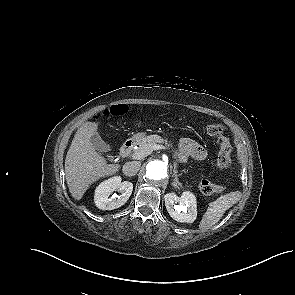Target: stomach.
Wrapping results in <instances>:
<instances>
[{"label":"stomach","instance_id":"obj_1","mask_svg":"<svg viewBox=\"0 0 295 295\" xmlns=\"http://www.w3.org/2000/svg\"><path fill=\"white\" fill-rule=\"evenodd\" d=\"M145 134L144 133H137L133 136L132 140L136 143L141 142L144 138H145Z\"/></svg>","mask_w":295,"mask_h":295}]
</instances>
